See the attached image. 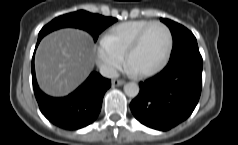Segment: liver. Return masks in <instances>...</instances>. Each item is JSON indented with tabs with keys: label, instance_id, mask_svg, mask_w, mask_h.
Masks as SVG:
<instances>
[{
	"label": "liver",
	"instance_id": "obj_1",
	"mask_svg": "<svg viewBox=\"0 0 238 145\" xmlns=\"http://www.w3.org/2000/svg\"><path fill=\"white\" fill-rule=\"evenodd\" d=\"M92 38L78 29H62L44 37L35 58L40 88L64 96L77 88L94 67Z\"/></svg>",
	"mask_w": 238,
	"mask_h": 145
}]
</instances>
